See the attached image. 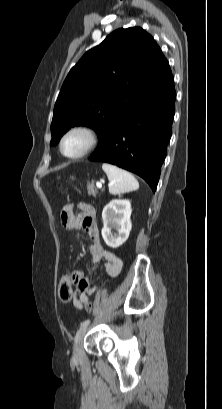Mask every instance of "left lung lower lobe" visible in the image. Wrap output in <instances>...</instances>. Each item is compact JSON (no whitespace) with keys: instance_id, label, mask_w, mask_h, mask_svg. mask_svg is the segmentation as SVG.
<instances>
[{"instance_id":"0a47b994","label":"left lung lower lobe","mask_w":222,"mask_h":409,"mask_svg":"<svg viewBox=\"0 0 222 409\" xmlns=\"http://www.w3.org/2000/svg\"><path fill=\"white\" fill-rule=\"evenodd\" d=\"M175 99L174 80L169 73L122 109L100 136L89 159L131 171L155 192L171 138Z\"/></svg>"}]
</instances>
